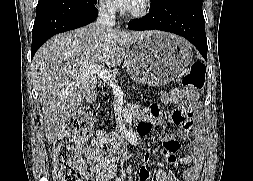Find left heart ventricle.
<instances>
[{
  "instance_id": "obj_1",
  "label": "left heart ventricle",
  "mask_w": 253,
  "mask_h": 181,
  "mask_svg": "<svg viewBox=\"0 0 253 181\" xmlns=\"http://www.w3.org/2000/svg\"><path fill=\"white\" fill-rule=\"evenodd\" d=\"M141 1L139 2V4L133 10L138 9L141 6Z\"/></svg>"
}]
</instances>
